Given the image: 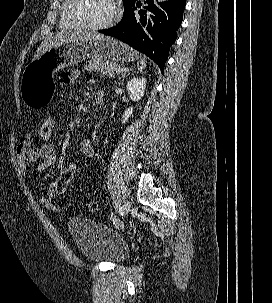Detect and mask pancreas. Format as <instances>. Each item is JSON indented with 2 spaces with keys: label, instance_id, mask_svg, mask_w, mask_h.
Returning a JSON list of instances; mask_svg holds the SVG:
<instances>
[{
  "label": "pancreas",
  "instance_id": "obj_1",
  "mask_svg": "<svg viewBox=\"0 0 272 303\" xmlns=\"http://www.w3.org/2000/svg\"><path fill=\"white\" fill-rule=\"evenodd\" d=\"M118 68H121V66L116 62L103 59H93L85 65L86 71H98L108 77H114L115 75H118L119 73L116 71Z\"/></svg>",
  "mask_w": 272,
  "mask_h": 303
}]
</instances>
